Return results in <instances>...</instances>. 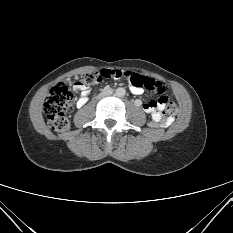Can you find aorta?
<instances>
[{
	"mask_svg": "<svg viewBox=\"0 0 233 233\" xmlns=\"http://www.w3.org/2000/svg\"><path fill=\"white\" fill-rule=\"evenodd\" d=\"M115 94L118 97H123L126 94V90L124 88H117Z\"/></svg>",
	"mask_w": 233,
	"mask_h": 233,
	"instance_id": "aorta-1",
	"label": "aorta"
}]
</instances>
